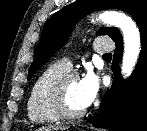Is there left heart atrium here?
I'll return each mask as SVG.
<instances>
[{"mask_svg": "<svg viewBox=\"0 0 147 131\" xmlns=\"http://www.w3.org/2000/svg\"><path fill=\"white\" fill-rule=\"evenodd\" d=\"M81 101L84 107L90 106L98 96L100 78L92 71H88L79 81Z\"/></svg>", "mask_w": 147, "mask_h": 131, "instance_id": "left-heart-atrium-1", "label": "left heart atrium"}]
</instances>
